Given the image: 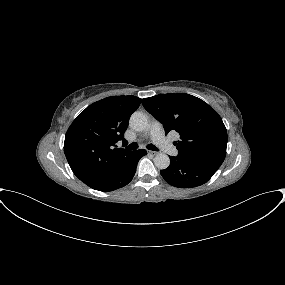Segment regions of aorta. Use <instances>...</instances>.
<instances>
[{"mask_svg": "<svg viewBox=\"0 0 285 285\" xmlns=\"http://www.w3.org/2000/svg\"><path fill=\"white\" fill-rule=\"evenodd\" d=\"M129 124L135 131H143L148 126V117L142 112H134L130 117ZM154 164L158 169H166L170 165V158L163 153L157 154L154 158Z\"/></svg>", "mask_w": 285, "mask_h": 285, "instance_id": "aorta-1", "label": "aorta"}]
</instances>
